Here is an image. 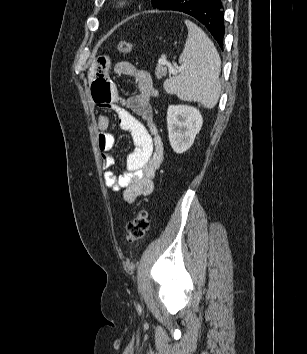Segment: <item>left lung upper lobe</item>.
Masks as SVG:
<instances>
[{"instance_id": "left-lung-upper-lobe-1", "label": "left lung upper lobe", "mask_w": 307, "mask_h": 354, "mask_svg": "<svg viewBox=\"0 0 307 354\" xmlns=\"http://www.w3.org/2000/svg\"><path fill=\"white\" fill-rule=\"evenodd\" d=\"M170 0H152V5L154 8H161L163 7L166 3H168Z\"/></svg>"}]
</instances>
